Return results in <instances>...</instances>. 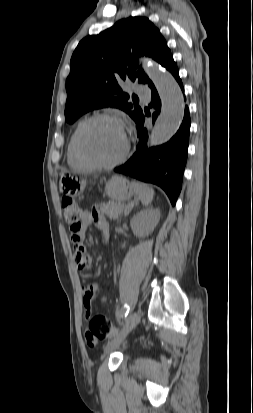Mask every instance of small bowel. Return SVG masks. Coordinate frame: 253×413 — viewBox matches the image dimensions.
<instances>
[{
    "mask_svg": "<svg viewBox=\"0 0 253 413\" xmlns=\"http://www.w3.org/2000/svg\"><path fill=\"white\" fill-rule=\"evenodd\" d=\"M90 225H95L99 229L103 239H108L109 237V223L99 208L85 210L82 212L78 227L71 228V240L74 250L73 258L78 270H86L91 265V258L86 253L83 244L86 229ZM96 298L100 299L102 302H106L107 296L105 290L95 284H88L84 286L83 305L87 310L90 309L92 301ZM87 343L89 346L93 347L96 345L97 341L90 343L87 340Z\"/></svg>",
    "mask_w": 253,
    "mask_h": 413,
    "instance_id": "c3829d8e",
    "label": "small bowel"
}]
</instances>
